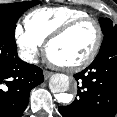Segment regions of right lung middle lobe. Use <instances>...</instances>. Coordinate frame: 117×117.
Listing matches in <instances>:
<instances>
[{
  "label": "right lung middle lobe",
  "instance_id": "1",
  "mask_svg": "<svg viewBox=\"0 0 117 117\" xmlns=\"http://www.w3.org/2000/svg\"><path fill=\"white\" fill-rule=\"evenodd\" d=\"M40 1H25L11 4H0V31L15 37V26L19 17Z\"/></svg>",
  "mask_w": 117,
  "mask_h": 117
}]
</instances>
